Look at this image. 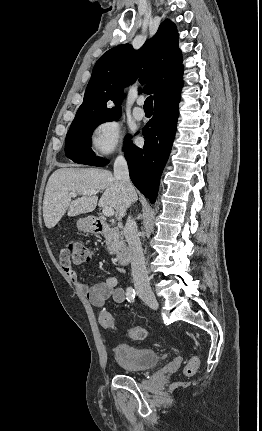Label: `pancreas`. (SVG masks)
<instances>
[{
    "label": "pancreas",
    "instance_id": "obj_1",
    "mask_svg": "<svg viewBox=\"0 0 262 431\" xmlns=\"http://www.w3.org/2000/svg\"><path fill=\"white\" fill-rule=\"evenodd\" d=\"M105 242L110 254H117L124 246V241L120 230L117 227L110 228L105 234Z\"/></svg>",
    "mask_w": 262,
    "mask_h": 431
}]
</instances>
